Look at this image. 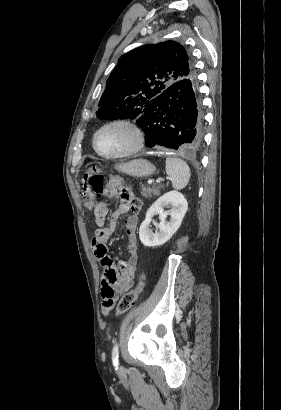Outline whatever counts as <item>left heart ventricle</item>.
<instances>
[{
    "label": "left heart ventricle",
    "instance_id": "obj_1",
    "mask_svg": "<svg viewBox=\"0 0 281 410\" xmlns=\"http://www.w3.org/2000/svg\"><path fill=\"white\" fill-rule=\"evenodd\" d=\"M96 143L102 153L114 155L130 149L134 137L126 127L114 126L102 130L97 136Z\"/></svg>",
    "mask_w": 281,
    "mask_h": 410
}]
</instances>
